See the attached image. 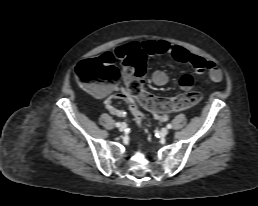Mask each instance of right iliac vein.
Returning <instances> with one entry per match:
<instances>
[{"instance_id": "63e3f726", "label": "right iliac vein", "mask_w": 258, "mask_h": 206, "mask_svg": "<svg viewBox=\"0 0 258 206\" xmlns=\"http://www.w3.org/2000/svg\"><path fill=\"white\" fill-rule=\"evenodd\" d=\"M126 128H127V125H126L125 123H122V124L120 125V127H119V130H120L121 132H123V131L126 130Z\"/></svg>"}]
</instances>
